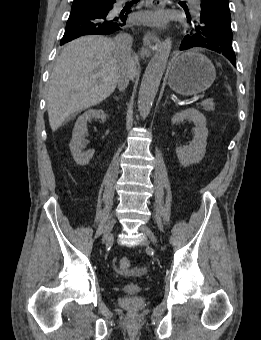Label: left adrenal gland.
I'll return each instance as SVG.
<instances>
[{"label": "left adrenal gland", "instance_id": "a2214340", "mask_svg": "<svg viewBox=\"0 0 261 340\" xmlns=\"http://www.w3.org/2000/svg\"><path fill=\"white\" fill-rule=\"evenodd\" d=\"M167 103H168V97H166V99H165V102H164L163 106H165Z\"/></svg>", "mask_w": 261, "mask_h": 340}]
</instances>
